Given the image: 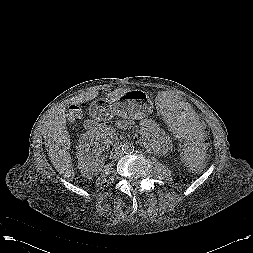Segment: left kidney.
I'll use <instances>...</instances> for the list:
<instances>
[{
  "label": "left kidney",
  "instance_id": "left-kidney-1",
  "mask_svg": "<svg viewBox=\"0 0 253 253\" xmlns=\"http://www.w3.org/2000/svg\"><path fill=\"white\" fill-rule=\"evenodd\" d=\"M140 134L147 147L156 153H166L169 150L170 138L154 121L148 120L141 124Z\"/></svg>",
  "mask_w": 253,
  "mask_h": 253
}]
</instances>
